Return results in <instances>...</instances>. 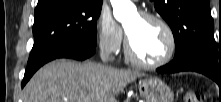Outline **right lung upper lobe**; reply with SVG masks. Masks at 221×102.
Segmentation results:
<instances>
[{"mask_svg":"<svg viewBox=\"0 0 221 102\" xmlns=\"http://www.w3.org/2000/svg\"><path fill=\"white\" fill-rule=\"evenodd\" d=\"M47 1H49V0H39V1H38V4H42V3H45V2H47ZM86 1H88V2H93V3L102 2V0H86ZM38 4H37V5H38Z\"/></svg>","mask_w":221,"mask_h":102,"instance_id":"right-lung-upper-lobe-1","label":"right lung upper lobe"}]
</instances>
